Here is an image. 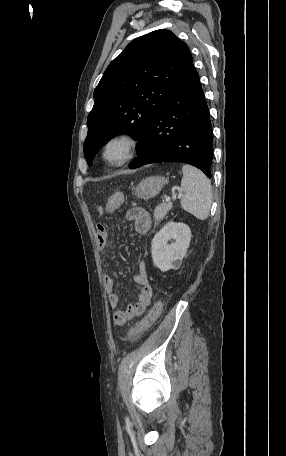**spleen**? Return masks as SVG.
Returning a JSON list of instances; mask_svg holds the SVG:
<instances>
[{
  "label": "spleen",
  "mask_w": 286,
  "mask_h": 456,
  "mask_svg": "<svg viewBox=\"0 0 286 456\" xmlns=\"http://www.w3.org/2000/svg\"><path fill=\"white\" fill-rule=\"evenodd\" d=\"M182 171L181 187L184 195L181 206L197 219L205 220L212 204L210 181L202 171L190 165H184Z\"/></svg>",
  "instance_id": "3e777b00"
}]
</instances>
